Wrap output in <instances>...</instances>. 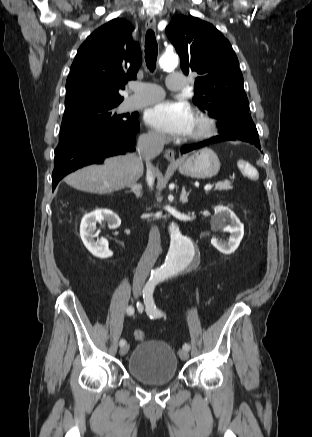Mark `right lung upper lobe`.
I'll return each instance as SVG.
<instances>
[{"label": "right lung upper lobe", "instance_id": "cb5924a9", "mask_svg": "<svg viewBox=\"0 0 312 437\" xmlns=\"http://www.w3.org/2000/svg\"><path fill=\"white\" fill-rule=\"evenodd\" d=\"M123 19H113L95 30L80 46L66 81V108L81 104H116L128 80L141 65L139 44Z\"/></svg>", "mask_w": 312, "mask_h": 437}]
</instances>
